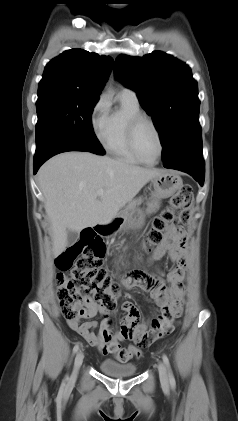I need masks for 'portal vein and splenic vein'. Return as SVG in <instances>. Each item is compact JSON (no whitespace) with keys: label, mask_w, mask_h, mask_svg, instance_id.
<instances>
[{"label":"portal vein and splenic vein","mask_w":238,"mask_h":421,"mask_svg":"<svg viewBox=\"0 0 238 421\" xmlns=\"http://www.w3.org/2000/svg\"><path fill=\"white\" fill-rule=\"evenodd\" d=\"M103 194H104V191H103V190H98V191H97V195H98V196H103Z\"/></svg>","instance_id":"obj_1"}]
</instances>
